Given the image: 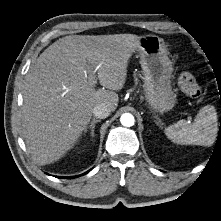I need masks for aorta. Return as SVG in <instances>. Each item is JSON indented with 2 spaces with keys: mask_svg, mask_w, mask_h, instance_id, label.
Returning a JSON list of instances; mask_svg holds the SVG:
<instances>
[{
  "mask_svg": "<svg viewBox=\"0 0 221 221\" xmlns=\"http://www.w3.org/2000/svg\"><path fill=\"white\" fill-rule=\"evenodd\" d=\"M120 122L123 126L131 127L134 125L135 119L134 116L130 113H124L120 117Z\"/></svg>",
  "mask_w": 221,
  "mask_h": 221,
  "instance_id": "obj_1",
  "label": "aorta"
}]
</instances>
